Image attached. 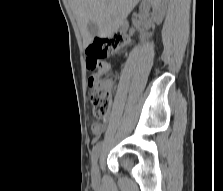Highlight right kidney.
Returning <instances> with one entry per match:
<instances>
[{"mask_svg":"<svg viewBox=\"0 0 223 191\" xmlns=\"http://www.w3.org/2000/svg\"><path fill=\"white\" fill-rule=\"evenodd\" d=\"M166 0H143L141 3L140 9L141 11H145L151 6L156 9L154 19L157 24H160L164 18L165 15V9H166ZM151 36L150 34L142 33L140 35V38L144 39L145 37Z\"/></svg>","mask_w":223,"mask_h":191,"instance_id":"1","label":"right kidney"}]
</instances>
